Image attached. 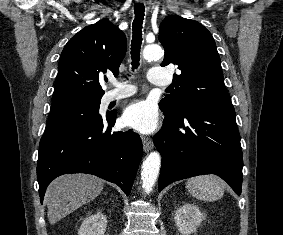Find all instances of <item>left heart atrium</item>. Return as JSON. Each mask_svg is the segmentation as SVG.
<instances>
[{
    "mask_svg": "<svg viewBox=\"0 0 283 235\" xmlns=\"http://www.w3.org/2000/svg\"><path fill=\"white\" fill-rule=\"evenodd\" d=\"M122 119L125 125L144 134L153 132L158 123L156 108L147 101L129 105L125 109Z\"/></svg>",
    "mask_w": 283,
    "mask_h": 235,
    "instance_id": "39dd6f15",
    "label": "left heart atrium"
}]
</instances>
